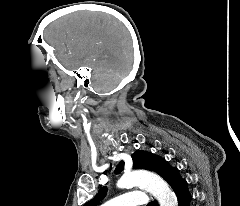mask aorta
<instances>
[{"instance_id":"1","label":"aorta","mask_w":240,"mask_h":206,"mask_svg":"<svg viewBox=\"0 0 240 206\" xmlns=\"http://www.w3.org/2000/svg\"><path fill=\"white\" fill-rule=\"evenodd\" d=\"M119 188L141 186L156 197L160 206H178L177 198L168 184L149 171L126 172L117 182Z\"/></svg>"}]
</instances>
